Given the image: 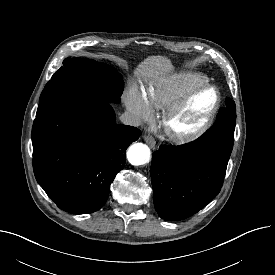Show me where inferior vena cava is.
<instances>
[{
  "mask_svg": "<svg viewBox=\"0 0 275 275\" xmlns=\"http://www.w3.org/2000/svg\"><path fill=\"white\" fill-rule=\"evenodd\" d=\"M120 120L124 125H130V126H139L141 124V120L139 118V116L130 113V112H124L121 116H120Z\"/></svg>",
  "mask_w": 275,
  "mask_h": 275,
  "instance_id": "obj_1",
  "label": "inferior vena cava"
}]
</instances>
